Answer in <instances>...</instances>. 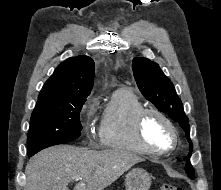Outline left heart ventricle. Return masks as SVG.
Masks as SVG:
<instances>
[{"mask_svg": "<svg viewBox=\"0 0 221 190\" xmlns=\"http://www.w3.org/2000/svg\"><path fill=\"white\" fill-rule=\"evenodd\" d=\"M144 136L147 142L156 149L167 148L173 142L170 129L155 115L147 117L144 124Z\"/></svg>", "mask_w": 221, "mask_h": 190, "instance_id": "left-heart-ventricle-1", "label": "left heart ventricle"}]
</instances>
